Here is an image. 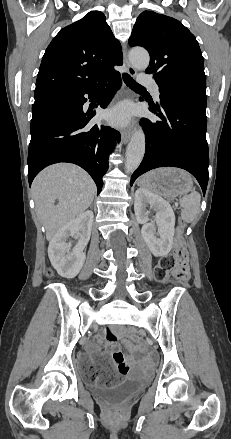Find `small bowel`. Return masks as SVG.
<instances>
[{
    "label": "small bowel",
    "mask_w": 231,
    "mask_h": 439,
    "mask_svg": "<svg viewBox=\"0 0 231 439\" xmlns=\"http://www.w3.org/2000/svg\"><path fill=\"white\" fill-rule=\"evenodd\" d=\"M118 334L111 330L106 333L104 337L97 336L94 338L93 345L89 348V352L91 355H101L102 360L104 362V367L107 372H111L115 365L125 364L128 367L132 365L130 360H126L123 356L120 346L118 344ZM105 342L109 352L112 355V361H109L105 355L106 353L100 349V345ZM135 374H143L144 371L142 369H136L134 371Z\"/></svg>",
    "instance_id": "1"
}]
</instances>
